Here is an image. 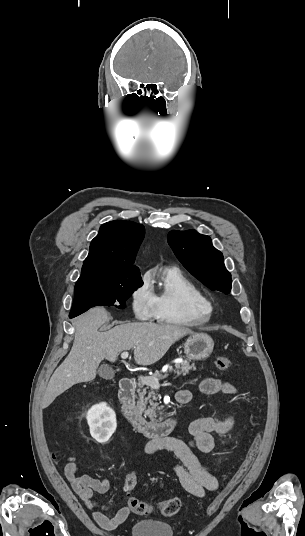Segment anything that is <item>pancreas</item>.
<instances>
[{
    "mask_svg": "<svg viewBox=\"0 0 305 536\" xmlns=\"http://www.w3.org/2000/svg\"><path fill=\"white\" fill-rule=\"evenodd\" d=\"M174 368L173 366H169V372H174V374H177L175 378H178V376H181V374L182 376H186V374H189L190 370H196L194 364H190V362H187V360H184L182 364H175ZM160 376H162L160 372H155L153 376H148V378H160ZM137 386V394L139 398L137 400L136 410H139V412H144V416H148L150 420H155L156 408H158L156 400H159V394L154 392L153 386H151L150 382H148V384H144V382L141 380ZM144 386H147V388H144Z\"/></svg>",
    "mask_w": 305,
    "mask_h": 536,
    "instance_id": "obj_1",
    "label": "pancreas"
}]
</instances>
